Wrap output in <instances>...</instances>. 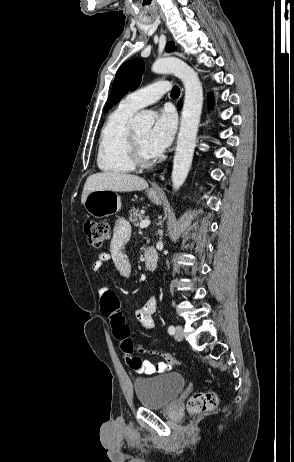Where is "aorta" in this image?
Listing matches in <instances>:
<instances>
[{"label":"aorta","mask_w":294,"mask_h":462,"mask_svg":"<svg viewBox=\"0 0 294 462\" xmlns=\"http://www.w3.org/2000/svg\"><path fill=\"white\" fill-rule=\"evenodd\" d=\"M152 71L159 74L172 73L183 82L185 87L180 131L171 176L173 189L177 191L184 184L192 164L203 106V88L198 74L178 58L157 59L152 65ZM132 125L136 129H150L153 122L145 112H140L134 117Z\"/></svg>","instance_id":"aorta-1"}]
</instances>
